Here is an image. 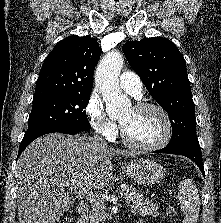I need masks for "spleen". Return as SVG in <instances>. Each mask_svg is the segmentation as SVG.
Masks as SVG:
<instances>
[{"label":"spleen","mask_w":221,"mask_h":223,"mask_svg":"<svg viewBox=\"0 0 221 223\" xmlns=\"http://www.w3.org/2000/svg\"><path fill=\"white\" fill-rule=\"evenodd\" d=\"M178 198L181 210L185 214L183 223H197L200 212V197L191 179L183 178L180 182Z\"/></svg>","instance_id":"3e777b00"}]
</instances>
